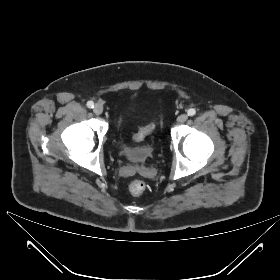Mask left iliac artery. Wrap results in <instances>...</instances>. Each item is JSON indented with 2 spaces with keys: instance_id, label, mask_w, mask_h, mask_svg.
<instances>
[{
  "instance_id": "left-iliac-artery-1",
  "label": "left iliac artery",
  "mask_w": 280,
  "mask_h": 280,
  "mask_svg": "<svg viewBox=\"0 0 280 280\" xmlns=\"http://www.w3.org/2000/svg\"><path fill=\"white\" fill-rule=\"evenodd\" d=\"M187 114H188L189 116H194V115L196 114V110L193 109V108H191V109H189V110L187 111Z\"/></svg>"
}]
</instances>
